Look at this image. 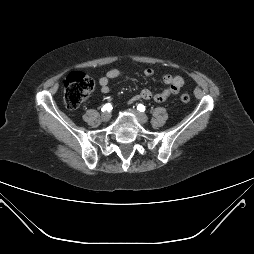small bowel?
Listing matches in <instances>:
<instances>
[{
	"label": "small bowel",
	"mask_w": 254,
	"mask_h": 254,
	"mask_svg": "<svg viewBox=\"0 0 254 254\" xmlns=\"http://www.w3.org/2000/svg\"><path fill=\"white\" fill-rule=\"evenodd\" d=\"M144 74L147 77H152L155 74V70L152 68H147L144 70ZM120 75L121 71L117 68L108 70L106 74L102 76L98 81L101 93L108 94L110 92V80L116 79ZM163 81L167 87L161 92L153 93L151 90L144 88L140 91L139 94L134 95L129 102L133 103L140 99H153L158 103H163L167 101L170 96L176 95L185 84L184 79L179 75L167 74L163 77Z\"/></svg>",
	"instance_id": "1"
}]
</instances>
